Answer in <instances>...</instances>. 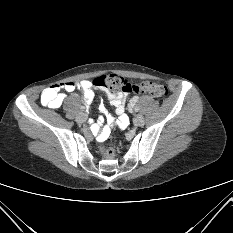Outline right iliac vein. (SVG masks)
<instances>
[{
    "label": "right iliac vein",
    "mask_w": 233,
    "mask_h": 233,
    "mask_svg": "<svg viewBox=\"0 0 233 233\" xmlns=\"http://www.w3.org/2000/svg\"><path fill=\"white\" fill-rule=\"evenodd\" d=\"M87 120V117L84 113H79L77 116H76V122L79 123V124H82L84 122H86Z\"/></svg>",
    "instance_id": "1"
}]
</instances>
